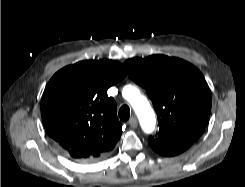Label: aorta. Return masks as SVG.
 Instances as JSON below:
<instances>
[{
  "label": "aorta",
  "instance_id": "obj_1",
  "mask_svg": "<svg viewBox=\"0 0 245 187\" xmlns=\"http://www.w3.org/2000/svg\"><path fill=\"white\" fill-rule=\"evenodd\" d=\"M124 91H127L125 97L136 112L143 130L148 133L153 131L155 127V115L148 100L133 86H127Z\"/></svg>",
  "mask_w": 245,
  "mask_h": 187
}]
</instances>
